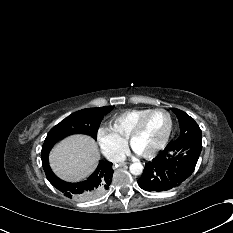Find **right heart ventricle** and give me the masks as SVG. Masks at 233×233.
<instances>
[{"label":"right heart ventricle","instance_id":"1","mask_svg":"<svg viewBox=\"0 0 233 233\" xmlns=\"http://www.w3.org/2000/svg\"><path fill=\"white\" fill-rule=\"evenodd\" d=\"M148 108L129 109L114 117L109 125V131L122 142L126 143L129 133L136 122L149 111Z\"/></svg>","mask_w":233,"mask_h":233}]
</instances>
